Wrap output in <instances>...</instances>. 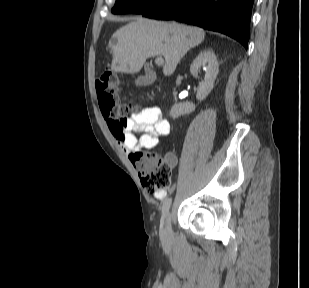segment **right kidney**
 Here are the masks:
<instances>
[{
	"label": "right kidney",
	"mask_w": 309,
	"mask_h": 288,
	"mask_svg": "<svg viewBox=\"0 0 309 288\" xmlns=\"http://www.w3.org/2000/svg\"><path fill=\"white\" fill-rule=\"evenodd\" d=\"M201 66H206L204 80L199 83L196 98L204 100L214 87V82L219 71V64L213 51L205 50L201 52L190 66V72L197 77ZM195 110V105L191 102L175 104L172 106L170 115L175 119L181 115L190 114Z\"/></svg>",
	"instance_id": "right-kidney-1"
}]
</instances>
